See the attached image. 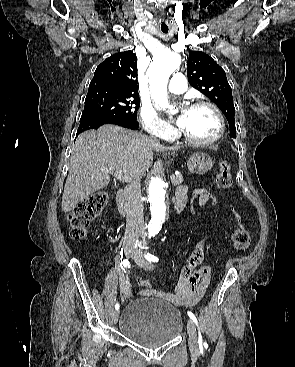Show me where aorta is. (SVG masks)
Listing matches in <instances>:
<instances>
[{
	"label": "aorta",
	"mask_w": 295,
	"mask_h": 367,
	"mask_svg": "<svg viewBox=\"0 0 295 367\" xmlns=\"http://www.w3.org/2000/svg\"><path fill=\"white\" fill-rule=\"evenodd\" d=\"M181 57L174 52H163L153 59L147 71L152 91L155 94L157 107H169L166 97V87L170 75L180 66ZM151 220L148 224V237L159 233L165 221L167 211L166 189L162 179L154 175L148 186Z\"/></svg>",
	"instance_id": "762f6f07"
}]
</instances>
